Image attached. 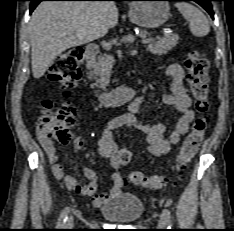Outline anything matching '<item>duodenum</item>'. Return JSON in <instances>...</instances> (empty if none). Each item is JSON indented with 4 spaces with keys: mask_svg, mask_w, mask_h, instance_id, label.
Instances as JSON below:
<instances>
[{
    "mask_svg": "<svg viewBox=\"0 0 234 231\" xmlns=\"http://www.w3.org/2000/svg\"><path fill=\"white\" fill-rule=\"evenodd\" d=\"M99 47L96 43H90L87 45L84 51V60L88 64H92L98 55ZM135 95V88L132 85H125L115 88L108 92H101L98 94V98L104 107H117L130 101Z\"/></svg>",
    "mask_w": 234,
    "mask_h": 231,
    "instance_id": "1",
    "label": "duodenum"
}]
</instances>
